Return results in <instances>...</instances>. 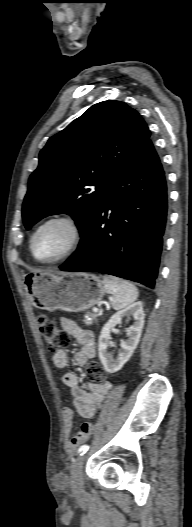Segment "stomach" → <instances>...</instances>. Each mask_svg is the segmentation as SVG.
Listing matches in <instances>:
<instances>
[{
    "label": "stomach",
    "mask_w": 192,
    "mask_h": 527,
    "mask_svg": "<svg viewBox=\"0 0 192 527\" xmlns=\"http://www.w3.org/2000/svg\"><path fill=\"white\" fill-rule=\"evenodd\" d=\"M25 284L35 307L47 311H84L99 303L105 294L99 277L82 272H34L26 275Z\"/></svg>",
    "instance_id": "stomach-1"
}]
</instances>
